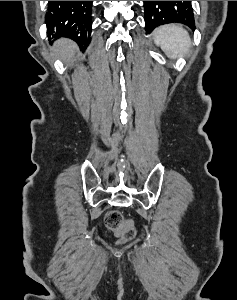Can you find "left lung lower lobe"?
Segmentation results:
<instances>
[{
	"mask_svg": "<svg viewBox=\"0 0 237 300\" xmlns=\"http://www.w3.org/2000/svg\"><path fill=\"white\" fill-rule=\"evenodd\" d=\"M174 2H180V3L184 4V5H187V6H189V7L192 8L190 1H174ZM159 3H160V1H144V6H147V5H156V4H159Z\"/></svg>",
	"mask_w": 237,
	"mask_h": 300,
	"instance_id": "obj_1",
	"label": "left lung lower lobe"
}]
</instances>
